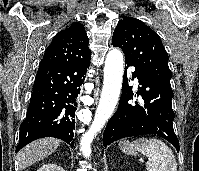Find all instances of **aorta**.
Segmentation results:
<instances>
[{
    "mask_svg": "<svg viewBox=\"0 0 199 171\" xmlns=\"http://www.w3.org/2000/svg\"><path fill=\"white\" fill-rule=\"evenodd\" d=\"M124 59L118 49L108 52L104 67V81L100 101L89 130L82 136L80 150L84 157L91 154V143L111 117L121 90Z\"/></svg>",
    "mask_w": 199,
    "mask_h": 171,
    "instance_id": "aorta-1",
    "label": "aorta"
}]
</instances>
